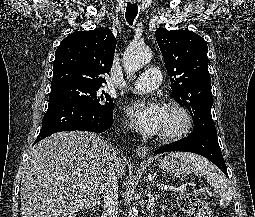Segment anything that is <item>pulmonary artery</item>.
<instances>
[{
	"mask_svg": "<svg viewBox=\"0 0 255 217\" xmlns=\"http://www.w3.org/2000/svg\"><path fill=\"white\" fill-rule=\"evenodd\" d=\"M159 84L160 71L157 68H148L130 85L129 90L135 93H147L156 89Z\"/></svg>",
	"mask_w": 255,
	"mask_h": 217,
	"instance_id": "pulmonary-artery-1",
	"label": "pulmonary artery"
}]
</instances>
